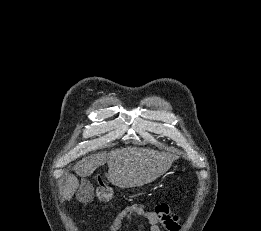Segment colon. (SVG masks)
Instances as JSON below:
<instances>
[{
	"instance_id": "obj_1",
	"label": "colon",
	"mask_w": 261,
	"mask_h": 231,
	"mask_svg": "<svg viewBox=\"0 0 261 231\" xmlns=\"http://www.w3.org/2000/svg\"><path fill=\"white\" fill-rule=\"evenodd\" d=\"M98 195L105 201L111 198V189L107 185H101Z\"/></svg>"
}]
</instances>
